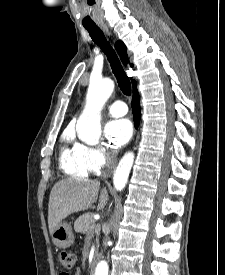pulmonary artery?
Segmentation results:
<instances>
[{"instance_id": "obj_1", "label": "pulmonary artery", "mask_w": 225, "mask_h": 275, "mask_svg": "<svg viewBox=\"0 0 225 275\" xmlns=\"http://www.w3.org/2000/svg\"><path fill=\"white\" fill-rule=\"evenodd\" d=\"M106 110L112 116H123L127 113L128 108L123 101H115L108 105Z\"/></svg>"}]
</instances>
